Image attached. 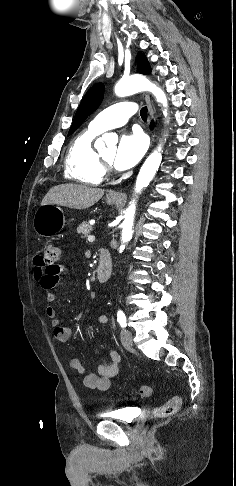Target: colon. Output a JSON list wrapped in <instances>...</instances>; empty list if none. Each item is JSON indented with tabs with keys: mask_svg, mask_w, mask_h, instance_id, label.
Here are the masks:
<instances>
[{
	"mask_svg": "<svg viewBox=\"0 0 236 486\" xmlns=\"http://www.w3.org/2000/svg\"><path fill=\"white\" fill-rule=\"evenodd\" d=\"M61 257V249L53 242H46L42 248V261L48 266L58 265V261ZM153 393V387L149 385H142L139 388L138 394L141 398H147ZM182 405V398L180 396H174L166 403L158 406L155 409V417L166 418L175 414Z\"/></svg>",
	"mask_w": 236,
	"mask_h": 486,
	"instance_id": "colon-1",
	"label": "colon"
}]
</instances>
